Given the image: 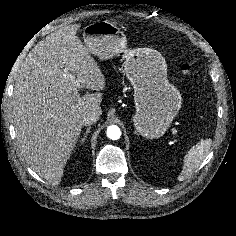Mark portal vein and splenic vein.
Returning a JSON list of instances; mask_svg holds the SVG:
<instances>
[{"mask_svg": "<svg viewBox=\"0 0 236 236\" xmlns=\"http://www.w3.org/2000/svg\"><path fill=\"white\" fill-rule=\"evenodd\" d=\"M68 76L73 81V83L78 87L79 84L74 80V77L72 75H68ZM173 134L178 136V132L176 130H173Z\"/></svg>", "mask_w": 236, "mask_h": 236, "instance_id": "18ae733b", "label": "portal vein and splenic vein"}]
</instances>
